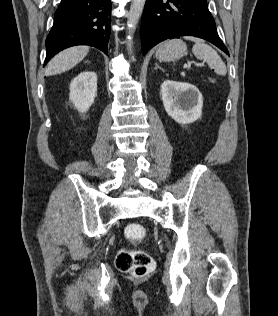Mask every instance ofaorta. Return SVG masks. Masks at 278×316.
<instances>
[{"mask_svg": "<svg viewBox=\"0 0 278 316\" xmlns=\"http://www.w3.org/2000/svg\"><path fill=\"white\" fill-rule=\"evenodd\" d=\"M145 2L146 0H132L131 6H130L128 21H127V27H128L127 46H128L129 52H132L131 47H132L133 33L142 15Z\"/></svg>", "mask_w": 278, "mask_h": 316, "instance_id": "762f6f07", "label": "aorta"}]
</instances>
